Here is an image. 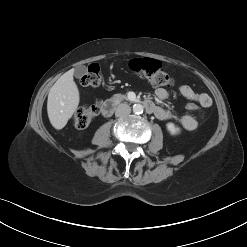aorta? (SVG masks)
Masks as SVG:
<instances>
[{"instance_id": "aorta-1", "label": "aorta", "mask_w": 247, "mask_h": 247, "mask_svg": "<svg viewBox=\"0 0 247 247\" xmlns=\"http://www.w3.org/2000/svg\"><path fill=\"white\" fill-rule=\"evenodd\" d=\"M133 112L135 114H141V113H143V106L141 104H134L133 105Z\"/></svg>"}]
</instances>
